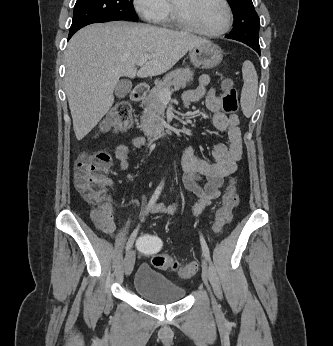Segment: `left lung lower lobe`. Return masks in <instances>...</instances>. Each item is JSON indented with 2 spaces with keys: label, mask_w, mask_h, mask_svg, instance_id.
I'll use <instances>...</instances> for the list:
<instances>
[{
  "label": "left lung lower lobe",
  "mask_w": 333,
  "mask_h": 346,
  "mask_svg": "<svg viewBox=\"0 0 333 346\" xmlns=\"http://www.w3.org/2000/svg\"><path fill=\"white\" fill-rule=\"evenodd\" d=\"M247 45L250 46L251 48H253L260 55V46H259V44L249 43Z\"/></svg>",
  "instance_id": "left-lung-lower-lobe-1"
}]
</instances>
